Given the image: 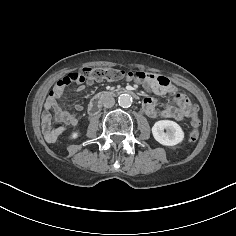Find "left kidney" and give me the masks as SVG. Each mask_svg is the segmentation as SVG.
Here are the masks:
<instances>
[{"instance_id": "1", "label": "left kidney", "mask_w": 236, "mask_h": 236, "mask_svg": "<svg viewBox=\"0 0 236 236\" xmlns=\"http://www.w3.org/2000/svg\"><path fill=\"white\" fill-rule=\"evenodd\" d=\"M152 134L154 139L164 146H175L184 139L182 128L176 122L170 120L155 122L152 127Z\"/></svg>"}]
</instances>
